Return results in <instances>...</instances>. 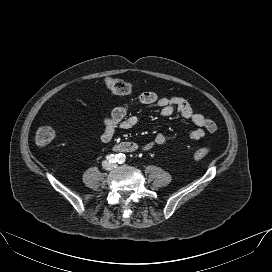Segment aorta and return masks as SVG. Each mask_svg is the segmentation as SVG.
I'll use <instances>...</instances> for the list:
<instances>
[{
  "label": "aorta",
  "mask_w": 272,
  "mask_h": 272,
  "mask_svg": "<svg viewBox=\"0 0 272 272\" xmlns=\"http://www.w3.org/2000/svg\"><path fill=\"white\" fill-rule=\"evenodd\" d=\"M117 160H118V162H120V163H121V162H124V160H125V155L122 154V153L118 154Z\"/></svg>",
  "instance_id": "obj_1"
}]
</instances>
